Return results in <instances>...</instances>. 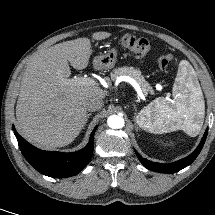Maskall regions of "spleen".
Instances as JSON below:
<instances>
[{
    "label": "spleen",
    "instance_id": "spleen-1",
    "mask_svg": "<svg viewBox=\"0 0 215 215\" xmlns=\"http://www.w3.org/2000/svg\"><path fill=\"white\" fill-rule=\"evenodd\" d=\"M172 96V99L159 97L148 104L136 121L154 134L181 129L191 137L197 136L204 121L205 103L195 71L186 60L179 63Z\"/></svg>",
    "mask_w": 215,
    "mask_h": 215
}]
</instances>
